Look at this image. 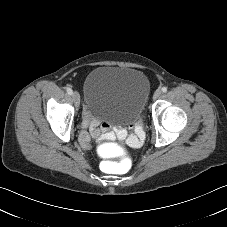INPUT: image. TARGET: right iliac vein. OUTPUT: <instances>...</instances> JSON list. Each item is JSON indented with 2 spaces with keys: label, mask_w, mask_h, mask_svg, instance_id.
<instances>
[{
  "label": "right iliac vein",
  "mask_w": 227,
  "mask_h": 227,
  "mask_svg": "<svg viewBox=\"0 0 227 227\" xmlns=\"http://www.w3.org/2000/svg\"><path fill=\"white\" fill-rule=\"evenodd\" d=\"M72 99H73L75 105L78 107L79 103H80V95H79V93L77 91H74L72 93Z\"/></svg>",
  "instance_id": "63e3f726"
}]
</instances>
